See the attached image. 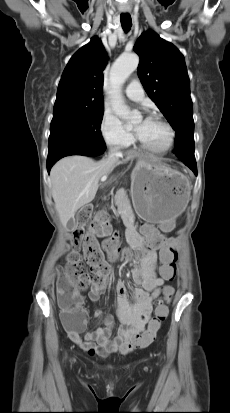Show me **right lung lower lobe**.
<instances>
[{
    "label": "right lung lower lobe",
    "instance_id": "1",
    "mask_svg": "<svg viewBox=\"0 0 230 413\" xmlns=\"http://www.w3.org/2000/svg\"><path fill=\"white\" fill-rule=\"evenodd\" d=\"M104 148H71L58 152L57 154L47 158V171L50 172L51 167L59 159L69 155H83V156H98L104 153Z\"/></svg>",
    "mask_w": 230,
    "mask_h": 413
}]
</instances>
